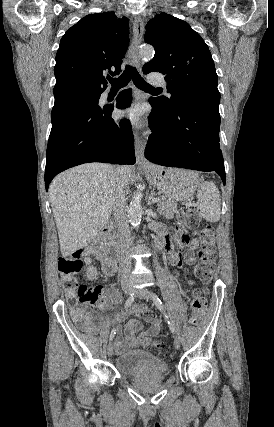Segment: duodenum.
<instances>
[{"label": "duodenum", "mask_w": 274, "mask_h": 427, "mask_svg": "<svg viewBox=\"0 0 274 427\" xmlns=\"http://www.w3.org/2000/svg\"><path fill=\"white\" fill-rule=\"evenodd\" d=\"M157 232L161 236L159 240L160 246H167L169 241L167 238H164L165 231L162 227H157ZM103 237L109 241L110 249L109 254L113 260H117L118 257V243L116 240V235L114 231V224L112 221L108 222L103 229Z\"/></svg>", "instance_id": "1"}]
</instances>
